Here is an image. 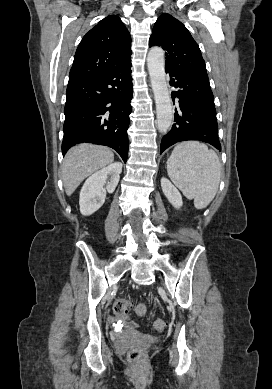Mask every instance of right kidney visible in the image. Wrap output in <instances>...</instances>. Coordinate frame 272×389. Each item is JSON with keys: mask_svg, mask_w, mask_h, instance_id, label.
Returning a JSON list of instances; mask_svg holds the SVG:
<instances>
[{"mask_svg": "<svg viewBox=\"0 0 272 389\" xmlns=\"http://www.w3.org/2000/svg\"><path fill=\"white\" fill-rule=\"evenodd\" d=\"M122 164L115 162L91 175L84 183L79 198L80 212L84 216L92 215L105 202L106 190L113 193L120 179ZM108 176L110 180L107 181ZM106 184V188L104 185Z\"/></svg>", "mask_w": 272, "mask_h": 389, "instance_id": "right-kidney-1", "label": "right kidney"}]
</instances>
